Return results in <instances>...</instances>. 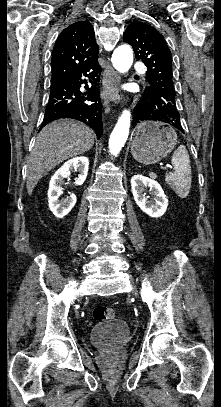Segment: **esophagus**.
<instances>
[{"label": "esophagus", "mask_w": 221, "mask_h": 407, "mask_svg": "<svg viewBox=\"0 0 221 407\" xmlns=\"http://www.w3.org/2000/svg\"><path fill=\"white\" fill-rule=\"evenodd\" d=\"M106 80L104 82V87L101 93V99L104 106H108L111 102H120V91L119 83L120 76L112 68L105 70Z\"/></svg>", "instance_id": "1"}]
</instances>
